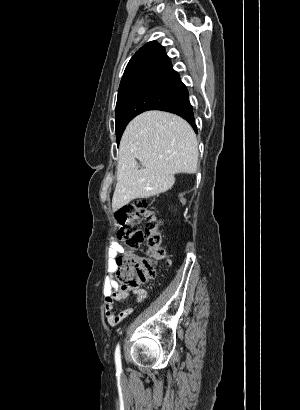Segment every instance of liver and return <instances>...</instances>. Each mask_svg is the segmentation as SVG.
<instances>
[{
    "instance_id": "1",
    "label": "liver",
    "mask_w": 300,
    "mask_h": 410,
    "mask_svg": "<svg viewBox=\"0 0 300 410\" xmlns=\"http://www.w3.org/2000/svg\"><path fill=\"white\" fill-rule=\"evenodd\" d=\"M136 159L144 168H138ZM197 162L196 135L184 119L163 111L138 115L120 141L113 212L134 199L166 192L175 174L196 173Z\"/></svg>"
}]
</instances>
